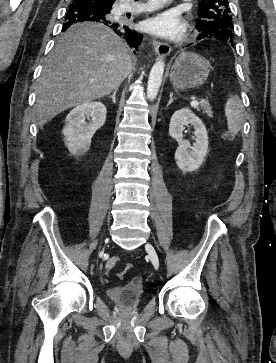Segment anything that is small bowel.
Returning <instances> with one entry per match:
<instances>
[{"label": "small bowel", "instance_id": "small-bowel-1", "mask_svg": "<svg viewBox=\"0 0 276 363\" xmlns=\"http://www.w3.org/2000/svg\"><path fill=\"white\" fill-rule=\"evenodd\" d=\"M120 262V258L117 256L110 257L105 265V270L109 272L117 263Z\"/></svg>", "mask_w": 276, "mask_h": 363}]
</instances>
